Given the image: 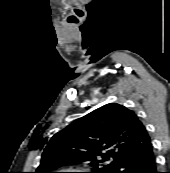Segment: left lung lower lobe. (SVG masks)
<instances>
[{"mask_svg": "<svg viewBox=\"0 0 170 173\" xmlns=\"http://www.w3.org/2000/svg\"><path fill=\"white\" fill-rule=\"evenodd\" d=\"M113 173H158L152 143L137 152L126 155Z\"/></svg>", "mask_w": 170, "mask_h": 173, "instance_id": "left-lung-lower-lobe-1", "label": "left lung lower lobe"}]
</instances>
